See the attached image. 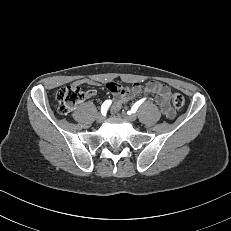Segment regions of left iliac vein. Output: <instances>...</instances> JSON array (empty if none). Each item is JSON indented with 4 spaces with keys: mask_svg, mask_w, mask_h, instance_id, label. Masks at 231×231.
Segmentation results:
<instances>
[{
    "mask_svg": "<svg viewBox=\"0 0 231 231\" xmlns=\"http://www.w3.org/2000/svg\"><path fill=\"white\" fill-rule=\"evenodd\" d=\"M122 116L124 119H126L127 121H135L137 119L136 114H128L126 112H122Z\"/></svg>",
    "mask_w": 231,
    "mask_h": 231,
    "instance_id": "left-iliac-vein-1",
    "label": "left iliac vein"
}]
</instances>
